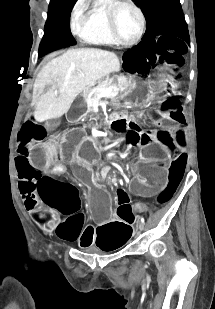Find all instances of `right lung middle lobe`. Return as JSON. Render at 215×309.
Returning a JSON list of instances; mask_svg holds the SVG:
<instances>
[{"instance_id": "right-lung-middle-lobe-1", "label": "right lung middle lobe", "mask_w": 215, "mask_h": 309, "mask_svg": "<svg viewBox=\"0 0 215 309\" xmlns=\"http://www.w3.org/2000/svg\"><path fill=\"white\" fill-rule=\"evenodd\" d=\"M77 0H50L45 34L39 46V57L59 48L76 44L70 31V14Z\"/></svg>"}]
</instances>
